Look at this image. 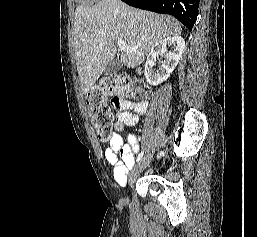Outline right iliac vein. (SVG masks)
Wrapping results in <instances>:
<instances>
[{"mask_svg":"<svg viewBox=\"0 0 257 237\" xmlns=\"http://www.w3.org/2000/svg\"><path fill=\"white\" fill-rule=\"evenodd\" d=\"M150 161L149 156H146L144 158H142L138 164L134 167V169L131 171L130 177H129V184L132 185L134 183V181L136 180L138 174L143 171L146 166L148 165ZM125 202L128 201V198L124 199Z\"/></svg>","mask_w":257,"mask_h":237,"instance_id":"1","label":"right iliac vein"}]
</instances>
